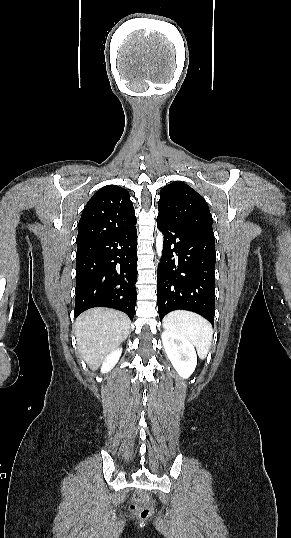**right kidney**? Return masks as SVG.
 <instances>
[{
    "instance_id": "ca27d5eb",
    "label": "right kidney",
    "mask_w": 291,
    "mask_h": 538,
    "mask_svg": "<svg viewBox=\"0 0 291 538\" xmlns=\"http://www.w3.org/2000/svg\"><path fill=\"white\" fill-rule=\"evenodd\" d=\"M121 353H122L121 348H117L116 350L112 351L106 357L105 361L103 362V364L101 366V372L102 373L109 372L115 366V364L118 362V360H119V358L121 356Z\"/></svg>"
}]
</instances>
